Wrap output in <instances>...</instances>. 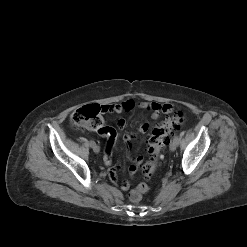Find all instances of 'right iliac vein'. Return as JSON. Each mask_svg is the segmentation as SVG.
<instances>
[{
  "instance_id": "obj_1",
  "label": "right iliac vein",
  "mask_w": 247,
  "mask_h": 247,
  "mask_svg": "<svg viewBox=\"0 0 247 247\" xmlns=\"http://www.w3.org/2000/svg\"><path fill=\"white\" fill-rule=\"evenodd\" d=\"M91 147H92V149H93V151H94L95 153H99L100 147H99L97 144H94V145H92Z\"/></svg>"
}]
</instances>
